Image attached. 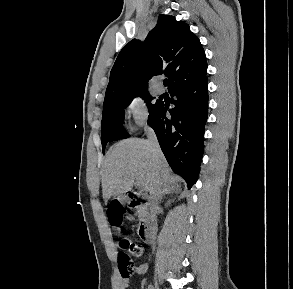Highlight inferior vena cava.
Returning <instances> with one entry per match:
<instances>
[{
	"instance_id": "inferior-vena-cava-1",
	"label": "inferior vena cava",
	"mask_w": 293,
	"mask_h": 289,
	"mask_svg": "<svg viewBox=\"0 0 293 289\" xmlns=\"http://www.w3.org/2000/svg\"><path fill=\"white\" fill-rule=\"evenodd\" d=\"M147 137H148V142L151 146V148L153 149L154 152H160V147L157 141V137L155 132L151 129V128H147ZM162 181H158L154 187L152 188L151 192H150V212H151V216L152 218L156 221V216H155V209L158 205V201L162 192ZM156 224V222H155ZM154 249V247H153Z\"/></svg>"
}]
</instances>
